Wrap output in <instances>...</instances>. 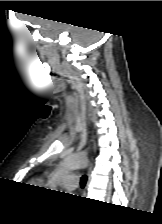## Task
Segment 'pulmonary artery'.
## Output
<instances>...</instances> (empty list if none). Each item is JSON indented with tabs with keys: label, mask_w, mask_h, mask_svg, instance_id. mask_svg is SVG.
I'll list each match as a JSON object with an SVG mask.
<instances>
[{
	"label": "pulmonary artery",
	"mask_w": 162,
	"mask_h": 224,
	"mask_svg": "<svg viewBox=\"0 0 162 224\" xmlns=\"http://www.w3.org/2000/svg\"><path fill=\"white\" fill-rule=\"evenodd\" d=\"M63 186L67 187L70 190L75 189L78 186V177L74 174H69L64 179L61 180Z\"/></svg>",
	"instance_id": "e3ab8cb5"
}]
</instances>
